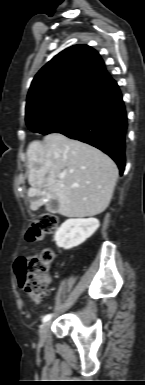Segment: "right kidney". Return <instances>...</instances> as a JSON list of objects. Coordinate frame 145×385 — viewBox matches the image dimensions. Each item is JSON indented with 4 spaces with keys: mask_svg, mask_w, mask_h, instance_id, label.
<instances>
[{
    "mask_svg": "<svg viewBox=\"0 0 145 385\" xmlns=\"http://www.w3.org/2000/svg\"><path fill=\"white\" fill-rule=\"evenodd\" d=\"M99 225L96 218L68 219L56 231L54 240L59 248L70 250L91 237Z\"/></svg>",
    "mask_w": 145,
    "mask_h": 385,
    "instance_id": "obj_1",
    "label": "right kidney"
}]
</instances>
